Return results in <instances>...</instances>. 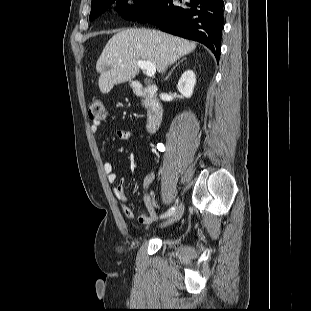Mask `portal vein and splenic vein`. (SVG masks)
Here are the masks:
<instances>
[{
	"label": "portal vein and splenic vein",
	"instance_id": "portal-vein-and-splenic-vein-1",
	"mask_svg": "<svg viewBox=\"0 0 311 311\" xmlns=\"http://www.w3.org/2000/svg\"><path fill=\"white\" fill-rule=\"evenodd\" d=\"M137 65L142 69L145 70L146 75L148 77H152L154 76V74L156 73V67L153 63H151L150 61H144V60H138L137 61Z\"/></svg>",
	"mask_w": 311,
	"mask_h": 311
}]
</instances>
